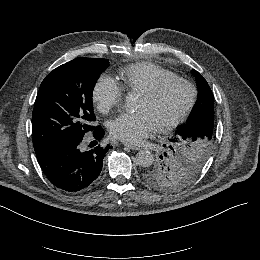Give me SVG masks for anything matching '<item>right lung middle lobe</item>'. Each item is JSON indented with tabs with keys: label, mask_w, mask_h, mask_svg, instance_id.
<instances>
[{
	"label": "right lung middle lobe",
	"mask_w": 260,
	"mask_h": 260,
	"mask_svg": "<svg viewBox=\"0 0 260 260\" xmlns=\"http://www.w3.org/2000/svg\"><path fill=\"white\" fill-rule=\"evenodd\" d=\"M109 66L102 58H76L63 64L41 83L33 115L34 149L82 140L95 129L92 92L99 75Z\"/></svg>",
	"instance_id": "obj_1"
}]
</instances>
